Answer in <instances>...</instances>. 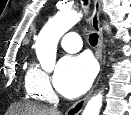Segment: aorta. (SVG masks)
<instances>
[{
	"instance_id": "1",
	"label": "aorta",
	"mask_w": 131,
	"mask_h": 115,
	"mask_svg": "<svg viewBox=\"0 0 131 115\" xmlns=\"http://www.w3.org/2000/svg\"><path fill=\"white\" fill-rule=\"evenodd\" d=\"M82 17L76 11H60L50 19L40 31L36 43V55L42 69L50 73L56 62V51L59 39L72 28ZM108 30V26H106ZM102 93L93 96L87 103L82 115H99L102 106Z\"/></svg>"
}]
</instances>
